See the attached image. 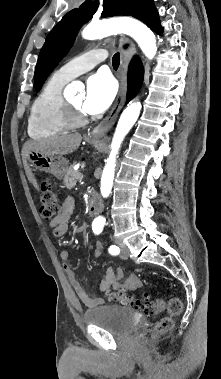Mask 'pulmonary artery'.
<instances>
[{"instance_id":"e3ab8cb5","label":"pulmonary artery","mask_w":221,"mask_h":379,"mask_svg":"<svg viewBox=\"0 0 221 379\" xmlns=\"http://www.w3.org/2000/svg\"><path fill=\"white\" fill-rule=\"evenodd\" d=\"M106 57L107 52L104 49L88 51L60 67L56 71V74L69 81L91 70L97 64L104 61Z\"/></svg>"}]
</instances>
